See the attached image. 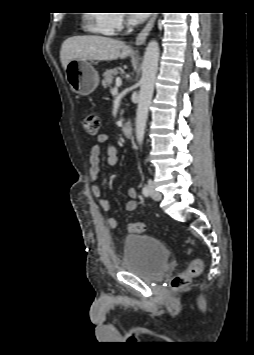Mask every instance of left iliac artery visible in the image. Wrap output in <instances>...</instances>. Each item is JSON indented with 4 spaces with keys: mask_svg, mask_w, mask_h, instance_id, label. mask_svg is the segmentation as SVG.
<instances>
[{
    "mask_svg": "<svg viewBox=\"0 0 254 355\" xmlns=\"http://www.w3.org/2000/svg\"><path fill=\"white\" fill-rule=\"evenodd\" d=\"M142 194L147 197L149 195V187L148 185H144L143 189H142Z\"/></svg>",
    "mask_w": 254,
    "mask_h": 355,
    "instance_id": "obj_1",
    "label": "left iliac artery"
}]
</instances>
